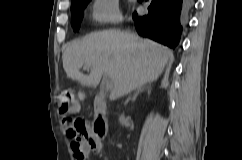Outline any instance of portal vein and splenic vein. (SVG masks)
<instances>
[{
    "label": "portal vein and splenic vein",
    "instance_id": "18ae733b",
    "mask_svg": "<svg viewBox=\"0 0 242 160\" xmlns=\"http://www.w3.org/2000/svg\"><path fill=\"white\" fill-rule=\"evenodd\" d=\"M87 68H89L90 66H86ZM113 87V83H112V81L110 80V78H107L106 80H105V89L106 90H109V89H111Z\"/></svg>",
    "mask_w": 242,
    "mask_h": 160
}]
</instances>
